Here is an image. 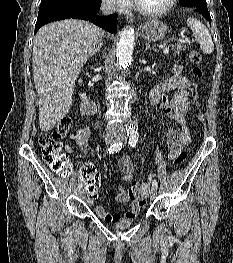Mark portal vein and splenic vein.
Listing matches in <instances>:
<instances>
[{
  "label": "portal vein and splenic vein",
  "mask_w": 233,
  "mask_h": 263,
  "mask_svg": "<svg viewBox=\"0 0 233 263\" xmlns=\"http://www.w3.org/2000/svg\"><path fill=\"white\" fill-rule=\"evenodd\" d=\"M179 41H180V42H184L183 39H180ZM168 52H169V47L164 48L163 53H164V54H167Z\"/></svg>",
  "instance_id": "obj_1"
}]
</instances>
